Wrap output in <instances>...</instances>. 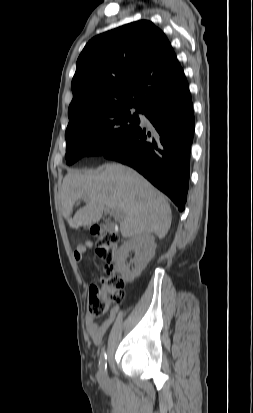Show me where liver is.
Listing matches in <instances>:
<instances>
[{"label": "liver", "mask_w": 253, "mask_h": 413, "mask_svg": "<svg viewBox=\"0 0 253 413\" xmlns=\"http://www.w3.org/2000/svg\"><path fill=\"white\" fill-rule=\"evenodd\" d=\"M62 215L71 228L100 221L105 209L120 212L124 238L154 233L163 239L171 226L172 213L165 196L135 170L117 163L103 165L100 173L70 171L61 187ZM87 201L72 217L73 206Z\"/></svg>", "instance_id": "1"}]
</instances>
